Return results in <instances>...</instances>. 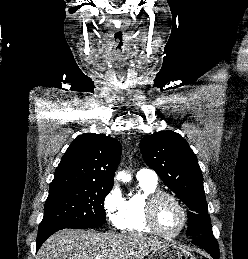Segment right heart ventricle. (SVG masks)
<instances>
[{"mask_svg":"<svg viewBox=\"0 0 248 259\" xmlns=\"http://www.w3.org/2000/svg\"><path fill=\"white\" fill-rule=\"evenodd\" d=\"M140 190L128 197L121 229L129 233H152L145 216L147 197L158 190L157 183L139 180Z\"/></svg>","mask_w":248,"mask_h":259,"instance_id":"e07e8e85","label":"right heart ventricle"}]
</instances>
